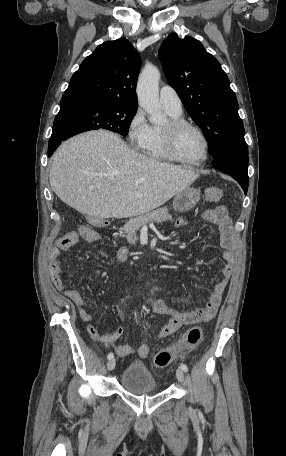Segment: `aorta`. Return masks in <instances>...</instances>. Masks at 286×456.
Returning a JSON list of instances; mask_svg holds the SVG:
<instances>
[{
	"mask_svg": "<svg viewBox=\"0 0 286 456\" xmlns=\"http://www.w3.org/2000/svg\"><path fill=\"white\" fill-rule=\"evenodd\" d=\"M159 80L160 72L158 68L148 65L141 72L137 83L139 105L149 115L148 119L152 124H162L166 121V116L161 111L159 102Z\"/></svg>",
	"mask_w": 286,
	"mask_h": 456,
	"instance_id": "1",
	"label": "aorta"
}]
</instances>
